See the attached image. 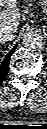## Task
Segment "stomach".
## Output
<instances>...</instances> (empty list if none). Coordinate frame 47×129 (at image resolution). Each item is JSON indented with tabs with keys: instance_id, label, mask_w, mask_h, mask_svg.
Segmentation results:
<instances>
[{
	"instance_id": "1",
	"label": "stomach",
	"mask_w": 47,
	"mask_h": 129,
	"mask_svg": "<svg viewBox=\"0 0 47 129\" xmlns=\"http://www.w3.org/2000/svg\"><path fill=\"white\" fill-rule=\"evenodd\" d=\"M42 5L44 6L45 12L47 13V0H40Z\"/></svg>"
}]
</instances>
